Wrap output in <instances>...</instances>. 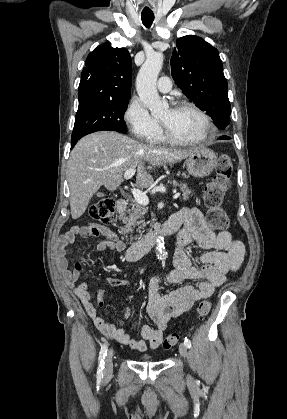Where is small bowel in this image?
<instances>
[{
    "label": "small bowel",
    "instance_id": "1",
    "mask_svg": "<svg viewBox=\"0 0 287 419\" xmlns=\"http://www.w3.org/2000/svg\"><path fill=\"white\" fill-rule=\"evenodd\" d=\"M168 224L173 225L176 229L182 227L174 254L175 268L156 277L149 285L147 312L156 327L139 324L141 339L130 337L121 326L101 318L91 302L87 284H76L80 272L78 270L71 271L68 268L66 247L72 244L77 236H103L105 239L96 245L98 251L122 252L125 249V244L119 240L117 234L98 224L77 225L63 234L58 242L57 268L66 284L73 289L96 328L104 335L136 351L142 352L148 348H158L169 320L188 311L198 300L212 296L216 288L225 283L226 274L238 270L244 259V245L240 241L234 240L226 230L214 232L205 223L203 215L197 209L180 210L169 219ZM192 241H195L198 247L204 250L198 267L192 265L188 252ZM186 280H190L192 283L185 284L167 294H161L159 291L162 282L179 284ZM106 284L128 287L129 281L123 278H109ZM103 303L104 290L99 289L97 305L102 306ZM123 313L125 318L131 314L127 307H124Z\"/></svg>",
    "mask_w": 287,
    "mask_h": 419
}]
</instances>
